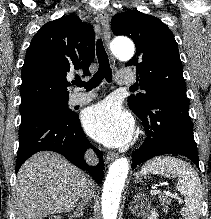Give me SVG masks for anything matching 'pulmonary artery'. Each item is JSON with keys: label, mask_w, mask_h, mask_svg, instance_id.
I'll use <instances>...</instances> for the list:
<instances>
[{"label": "pulmonary artery", "mask_w": 211, "mask_h": 219, "mask_svg": "<svg viewBox=\"0 0 211 219\" xmlns=\"http://www.w3.org/2000/svg\"><path fill=\"white\" fill-rule=\"evenodd\" d=\"M117 81L121 84H132L135 79L129 71H119L117 73ZM95 97V93H73L69 98L70 105H80L90 102Z\"/></svg>", "instance_id": "obj_1"}]
</instances>
